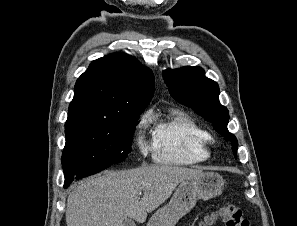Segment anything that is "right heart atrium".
Masks as SVG:
<instances>
[{
  "label": "right heart atrium",
  "instance_id": "right-heart-atrium-1",
  "mask_svg": "<svg viewBox=\"0 0 297 226\" xmlns=\"http://www.w3.org/2000/svg\"><path fill=\"white\" fill-rule=\"evenodd\" d=\"M146 126V121H142L141 122V130L138 133V138H137V142H138V146L139 149L141 151V153L143 155H146L149 153V151L151 150V147L148 145V143L144 140V136H143V129Z\"/></svg>",
  "mask_w": 297,
  "mask_h": 226
}]
</instances>
